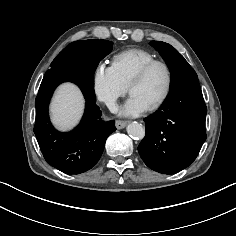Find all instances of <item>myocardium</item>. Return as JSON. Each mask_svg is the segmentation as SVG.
Masks as SVG:
<instances>
[{
	"label": "myocardium",
	"instance_id": "myocardium-1",
	"mask_svg": "<svg viewBox=\"0 0 236 236\" xmlns=\"http://www.w3.org/2000/svg\"><path fill=\"white\" fill-rule=\"evenodd\" d=\"M162 66L165 71H166V75H167V83H166V88L164 93L162 94V96L151 106H149V110H157L159 109L161 106L164 105V103L167 101V99L170 96V93L172 91V87H173V72L172 69L170 67V65L163 61V60H152L148 63H146L144 66H142L140 68V70L136 73V75L132 78L129 86H128V90L131 93V89L139 84L140 82H142L146 76L148 75V73L155 67V66Z\"/></svg>",
	"mask_w": 236,
	"mask_h": 236
}]
</instances>
